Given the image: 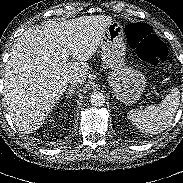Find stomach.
Here are the masks:
<instances>
[{
	"instance_id": "stomach-1",
	"label": "stomach",
	"mask_w": 183,
	"mask_h": 183,
	"mask_svg": "<svg viewBox=\"0 0 183 183\" xmlns=\"http://www.w3.org/2000/svg\"><path fill=\"white\" fill-rule=\"evenodd\" d=\"M123 26L112 22L105 30L101 42L103 64L109 68L108 83L116 98L125 104L140 100L146 87V78L142 72L126 66V45L123 40Z\"/></svg>"
}]
</instances>
